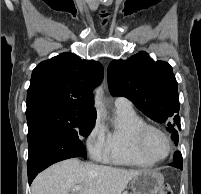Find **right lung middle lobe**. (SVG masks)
Returning <instances> with one entry per match:
<instances>
[{"label": "right lung middle lobe", "mask_w": 201, "mask_h": 194, "mask_svg": "<svg viewBox=\"0 0 201 194\" xmlns=\"http://www.w3.org/2000/svg\"><path fill=\"white\" fill-rule=\"evenodd\" d=\"M26 118L28 128L47 123L77 139L87 137L96 120V116L80 114L64 102L50 99L27 104ZM79 157L86 159V151H82Z\"/></svg>", "instance_id": "dd1d6c3e"}]
</instances>
